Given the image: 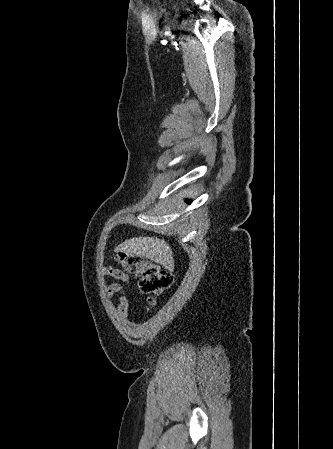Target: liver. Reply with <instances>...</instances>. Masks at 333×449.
I'll return each instance as SVG.
<instances>
[{
    "instance_id": "1",
    "label": "liver",
    "mask_w": 333,
    "mask_h": 449,
    "mask_svg": "<svg viewBox=\"0 0 333 449\" xmlns=\"http://www.w3.org/2000/svg\"><path fill=\"white\" fill-rule=\"evenodd\" d=\"M125 252L144 256L165 267L172 268L174 261L172 250L164 240L152 237L128 239L115 248V252Z\"/></svg>"
}]
</instances>
